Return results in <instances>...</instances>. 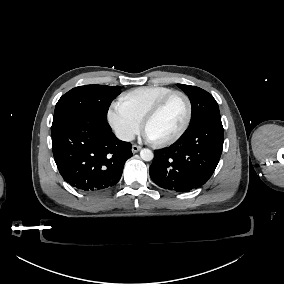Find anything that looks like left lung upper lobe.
Wrapping results in <instances>:
<instances>
[{"label": "left lung upper lobe", "instance_id": "5c2ea615", "mask_svg": "<svg viewBox=\"0 0 284 284\" xmlns=\"http://www.w3.org/2000/svg\"><path fill=\"white\" fill-rule=\"evenodd\" d=\"M178 87L188 95L192 104L190 125L208 118H220L218 104L210 93L196 86L178 84Z\"/></svg>", "mask_w": 284, "mask_h": 284}]
</instances>
